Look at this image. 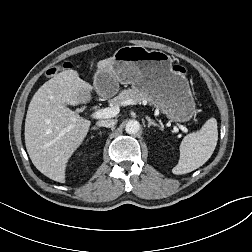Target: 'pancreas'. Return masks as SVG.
<instances>
[{"label":"pancreas","mask_w":252,"mask_h":252,"mask_svg":"<svg viewBox=\"0 0 252 252\" xmlns=\"http://www.w3.org/2000/svg\"><path fill=\"white\" fill-rule=\"evenodd\" d=\"M126 100H133L139 104H141L143 101L147 100L144 93L141 91L132 88V89H126L123 90L118 94V96L114 97L110 100V103L115 106H120L125 102Z\"/></svg>","instance_id":"pancreas-1"}]
</instances>
